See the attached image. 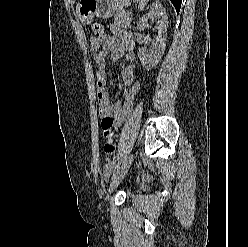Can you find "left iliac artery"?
<instances>
[{
	"instance_id": "obj_1",
	"label": "left iliac artery",
	"mask_w": 248,
	"mask_h": 247,
	"mask_svg": "<svg viewBox=\"0 0 248 247\" xmlns=\"http://www.w3.org/2000/svg\"><path fill=\"white\" fill-rule=\"evenodd\" d=\"M120 169V163H118L115 167L114 173H113V177L114 175L118 172V170Z\"/></svg>"
}]
</instances>
